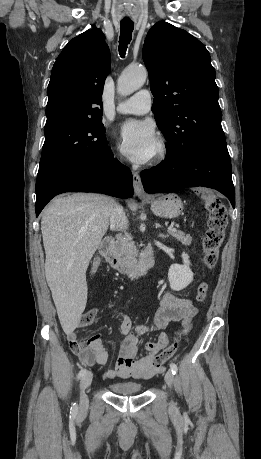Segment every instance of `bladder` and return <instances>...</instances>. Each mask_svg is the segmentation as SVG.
<instances>
[{
    "label": "bladder",
    "mask_w": 261,
    "mask_h": 459,
    "mask_svg": "<svg viewBox=\"0 0 261 459\" xmlns=\"http://www.w3.org/2000/svg\"><path fill=\"white\" fill-rule=\"evenodd\" d=\"M112 392L121 395L138 394L142 391V385L134 381L115 382L110 385Z\"/></svg>",
    "instance_id": "1"
}]
</instances>
